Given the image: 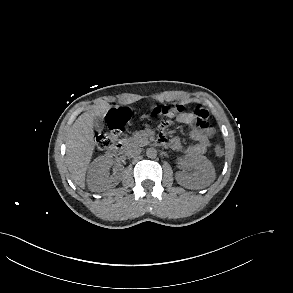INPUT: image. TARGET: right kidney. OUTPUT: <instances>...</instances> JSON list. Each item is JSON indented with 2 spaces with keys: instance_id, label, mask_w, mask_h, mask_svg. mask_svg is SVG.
<instances>
[{
  "instance_id": "obj_1",
  "label": "right kidney",
  "mask_w": 293,
  "mask_h": 293,
  "mask_svg": "<svg viewBox=\"0 0 293 293\" xmlns=\"http://www.w3.org/2000/svg\"><path fill=\"white\" fill-rule=\"evenodd\" d=\"M112 165V160L106 156H99L91 163L88 174L87 183L92 191L98 190L101 186H115L121 180V171H114L112 176H108V169Z\"/></svg>"
}]
</instances>
